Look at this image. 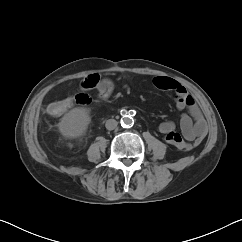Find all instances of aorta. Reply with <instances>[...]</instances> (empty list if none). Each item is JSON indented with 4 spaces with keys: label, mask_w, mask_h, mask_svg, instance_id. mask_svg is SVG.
<instances>
[{
    "label": "aorta",
    "mask_w": 242,
    "mask_h": 242,
    "mask_svg": "<svg viewBox=\"0 0 242 242\" xmlns=\"http://www.w3.org/2000/svg\"><path fill=\"white\" fill-rule=\"evenodd\" d=\"M134 124V120L130 115H124L121 118V125L124 128H129Z\"/></svg>",
    "instance_id": "762f6f07"
}]
</instances>
